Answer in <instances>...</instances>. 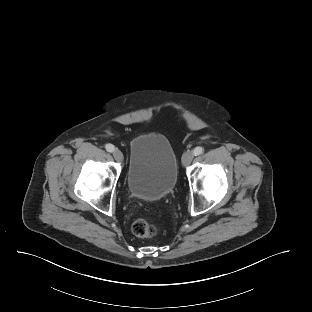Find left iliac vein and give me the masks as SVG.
Returning <instances> with one entry per match:
<instances>
[{
    "label": "left iliac vein",
    "mask_w": 312,
    "mask_h": 312,
    "mask_svg": "<svg viewBox=\"0 0 312 312\" xmlns=\"http://www.w3.org/2000/svg\"><path fill=\"white\" fill-rule=\"evenodd\" d=\"M194 154L192 151H187L183 154L182 164L184 166H188L193 160Z\"/></svg>",
    "instance_id": "1"
}]
</instances>
